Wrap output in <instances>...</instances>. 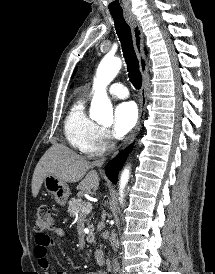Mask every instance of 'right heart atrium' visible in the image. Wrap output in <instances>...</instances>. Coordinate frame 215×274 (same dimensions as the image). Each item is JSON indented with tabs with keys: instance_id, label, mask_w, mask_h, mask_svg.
Listing matches in <instances>:
<instances>
[{
	"instance_id": "right-heart-atrium-1",
	"label": "right heart atrium",
	"mask_w": 215,
	"mask_h": 274,
	"mask_svg": "<svg viewBox=\"0 0 215 274\" xmlns=\"http://www.w3.org/2000/svg\"><path fill=\"white\" fill-rule=\"evenodd\" d=\"M113 147L110 132L104 128L98 126L86 149V154L90 156H98L108 151Z\"/></svg>"
}]
</instances>
